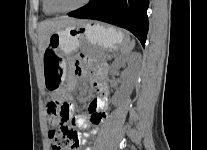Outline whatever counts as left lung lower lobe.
<instances>
[{
	"label": "left lung lower lobe",
	"instance_id": "left-lung-lower-lobe-1",
	"mask_svg": "<svg viewBox=\"0 0 207 150\" xmlns=\"http://www.w3.org/2000/svg\"><path fill=\"white\" fill-rule=\"evenodd\" d=\"M149 0H91L69 16L94 19L125 28L145 46L148 32Z\"/></svg>",
	"mask_w": 207,
	"mask_h": 150
}]
</instances>
